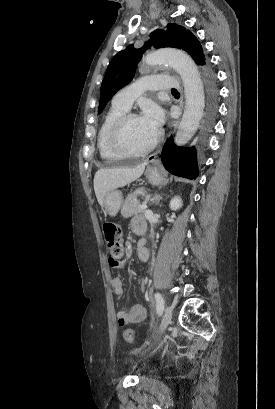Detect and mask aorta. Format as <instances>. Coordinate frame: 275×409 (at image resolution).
<instances>
[{
	"label": "aorta",
	"mask_w": 275,
	"mask_h": 409,
	"mask_svg": "<svg viewBox=\"0 0 275 409\" xmlns=\"http://www.w3.org/2000/svg\"><path fill=\"white\" fill-rule=\"evenodd\" d=\"M148 64H169L180 74L185 90V110L174 138L176 144H186L195 134L205 106L204 86L198 66L189 54L174 48H160L145 56Z\"/></svg>",
	"instance_id": "aorta-1"
}]
</instances>
